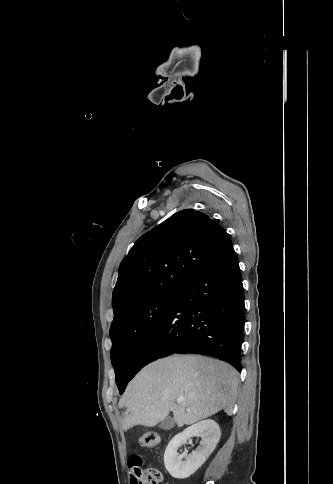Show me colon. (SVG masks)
Here are the masks:
<instances>
[{
    "instance_id": "5ec220e1",
    "label": "colon",
    "mask_w": 333,
    "mask_h": 484,
    "mask_svg": "<svg viewBox=\"0 0 333 484\" xmlns=\"http://www.w3.org/2000/svg\"><path fill=\"white\" fill-rule=\"evenodd\" d=\"M160 436L156 432H146L140 437V444L143 447H155L160 443ZM162 481L161 473L155 468H148L141 472L139 484H160Z\"/></svg>"
}]
</instances>
